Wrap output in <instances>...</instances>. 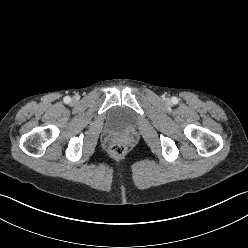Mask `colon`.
Segmentation results:
<instances>
[{
    "mask_svg": "<svg viewBox=\"0 0 248 248\" xmlns=\"http://www.w3.org/2000/svg\"><path fill=\"white\" fill-rule=\"evenodd\" d=\"M127 150V146L123 141H115L110 145V154L114 158H121Z\"/></svg>",
    "mask_w": 248,
    "mask_h": 248,
    "instance_id": "5ec220e1",
    "label": "colon"
}]
</instances>
